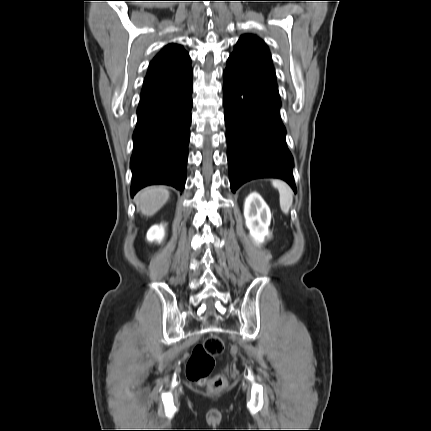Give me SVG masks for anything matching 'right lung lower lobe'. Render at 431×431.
Instances as JSON below:
<instances>
[{"label": "right lung lower lobe", "mask_w": 431, "mask_h": 431, "mask_svg": "<svg viewBox=\"0 0 431 431\" xmlns=\"http://www.w3.org/2000/svg\"><path fill=\"white\" fill-rule=\"evenodd\" d=\"M192 90L191 75L171 91L139 103L130 163L132 197L153 184L184 189Z\"/></svg>", "instance_id": "98d812e1"}]
</instances>
